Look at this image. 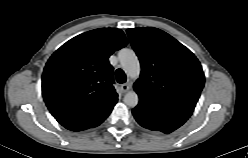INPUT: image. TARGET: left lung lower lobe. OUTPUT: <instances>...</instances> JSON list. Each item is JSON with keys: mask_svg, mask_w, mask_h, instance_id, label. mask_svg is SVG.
<instances>
[{"mask_svg": "<svg viewBox=\"0 0 248 158\" xmlns=\"http://www.w3.org/2000/svg\"><path fill=\"white\" fill-rule=\"evenodd\" d=\"M136 121L144 128L150 129V130H159L157 125L148 121L147 119H145L144 117H142L141 115L135 113L134 111H132ZM160 131V130H159Z\"/></svg>", "mask_w": 248, "mask_h": 158, "instance_id": "1", "label": "left lung lower lobe"}]
</instances>
